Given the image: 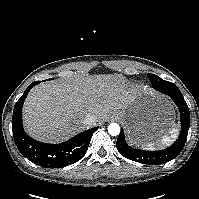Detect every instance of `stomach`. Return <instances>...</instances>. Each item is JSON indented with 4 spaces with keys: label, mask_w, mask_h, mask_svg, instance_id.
I'll return each mask as SVG.
<instances>
[{
    "label": "stomach",
    "mask_w": 199,
    "mask_h": 199,
    "mask_svg": "<svg viewBox=\"0 0 199 199\" xmlns=\"http://www.w3.org/2000/svg\"><path fill=\"white\" fill-rule=\"evenodd\" d=\"M163 99L148 92L137 95L128 107L117 111V117L125 125L129 140L144 144L161 137L171 124L172 115ZM165 119V120H164Z\"/></svg>",
    "instance_id": "obj_1"
}]
</instances>
